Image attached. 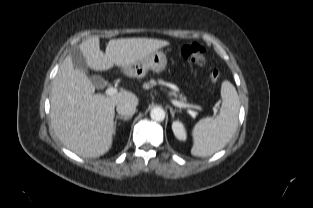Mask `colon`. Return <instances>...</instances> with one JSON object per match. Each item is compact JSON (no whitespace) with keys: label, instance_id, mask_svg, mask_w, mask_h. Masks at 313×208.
I'll list each match as a JSON object with an SVG mask.
<instances>
[{"label":"colon","instance_id":"colon-1","mask_svg":"<svg viewBox=\"0 0 313 208\" xmlns=\"http://www.w3.org/2000/svg\"><path fill=\"white\" fill-rule=\"evenodd\" d=\"M181 55L184 59L198 67H204L207 64L206 49L198 43L184 45L181 49ZM207 72L209 78L213 82L219 81L220 72L216 66L210 65L207 69Z\"/></svg>","mask_w":313,"mask_h":208}]
</instances>
